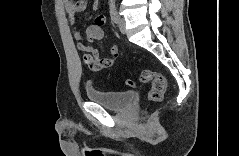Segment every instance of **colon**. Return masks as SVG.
Masks as SVG:
<instances>
[{"mask_svg":"<svg viewBox=\"0 0 239 156\" xmlns=\"http://www.w3.org/2000/svg\"><path fill=\"white\" fill-rule=\"evenodd\" d=\"M140 80L143 83H151V88L148 93V99L151 102H158L162 99L166 90L167 81L164 75L151 70H142L140 73ZM127 87H134L135 82L132 79H128L125 82Z\"/></svg>","mask_w":239,"mask_h":156,"instance_id":"1","label":"colon"}]
</instances>
